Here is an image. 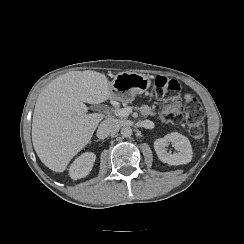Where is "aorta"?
<instances>
[{"label":"aorta","mask_w":244,"mask_h":244,"mask_svg":"<svg viewBox=\"0 0 244 244\" xmlns=\"http://www.w3.org/2000/svg\"><path fill=\"white\" fill-rule=\"evenodd\" d=\"M132 129L130 128V127H128V126H125V127H123L122 129H121V134H122V136L123 137H125V138H129V137H131L132 136Z\"/></svg>","instance_id":"762f6f07"}]
</instances>
